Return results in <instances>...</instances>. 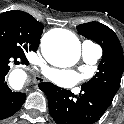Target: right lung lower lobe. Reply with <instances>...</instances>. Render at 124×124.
I'll list each match as a JSON object with an SVG mask.
<instances>
[{
    "label": "right lung lower lobe",
    "instance_id": "98d812e1",
    "mask_svg": "<svg viewBox=\"0 0 124 124\" xmlns=\"http://www.w3.org/2000/svg\"><path fill=\"white\" fill-rule=\"evenodd\" d=\"M12 63L16 65L19 63L26 64L28 61L26 58L0 51V120L16 113L26 98L25 93L13 92L6 83L5 77Z\"/></svg>",
    "mask_w": 124,
    "mask_h": 124
}]
</instances>
